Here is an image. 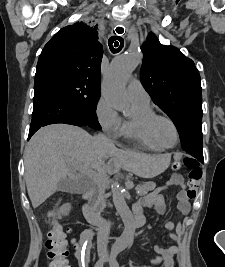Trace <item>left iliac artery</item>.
<instances>
[{"label":"left iliac artery","mask_w":225,"mask_h":267,"mask_svg":"<svg viewBox=\"0 0 225 267\" xmlns=\"http://www.w3.org/2000/svg\"><path fill=\"white\" fill-rule=\"evenodd\" d=\"M117 255L118 252H113L111 257H110V266L111 267H119V263L117 262Z\"/></svg>","instance_id":"1"}]
</instances>
